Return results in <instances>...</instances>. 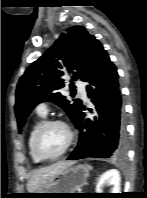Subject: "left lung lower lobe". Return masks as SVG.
I'll return each mask as SVG.
<instances>
[{
	"label": "left lung lower lobe",
	"mask_w": 147,
	"mask_h": 198,
	"mask_svg": "<svg viewBox=\"0 0 147 198\" xmlns=\"http://www.w3.org/2000/svg\"><path fill=\"white\" fill-rule=\"evenodd\" d=\"M85 81L89 83L86 89L97 115L88 119L85 109H81L76 123L79 142L68 160L123 157L127 138L118 73L97 39L93 42Z\"/></svg>",
	"instance_id": "0a47b994"
}]
</instances>
